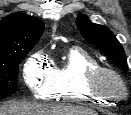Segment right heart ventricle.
<instances>
[{
	"mask_svg": "<svg viewBox=\"0 0 131 115\" xmlns=\"http://www.w3.org/2000/svg\"><path fill=\"white\" fill-rule=\"evenodd\" d=\"M97 66V59L88 51L77 47L69 48L62 64L55 67L56 89L50 98L93 106H104L115 100L97 96L85 88L87 71Z\"/></svg>",
	"mask_w": 131,
	"mask_h": 115,
	"instance_id": "right-heart-ventricle-1",
	"label": "right heart ventricle"
}]
</instances>
